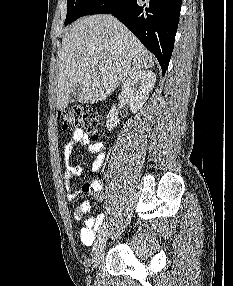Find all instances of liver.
<instances>
[{"mask_svg":"<svg viewBox=\"0 0 233 286\" xmlns=\"http://www.w3.org/2000/svg\"><path fill=\"white\" fill-rule=\"evenodd\" d=\"M153 65L152 54L112 15L80 18L65 33L58 54L57 109L68 106L74 86L82 85L78 102L94 104L128 76Z\"/></svg>","mask_w":233,"mask_h":286,"instance_id":"liver-1","label":"liver"}]
</instances>
